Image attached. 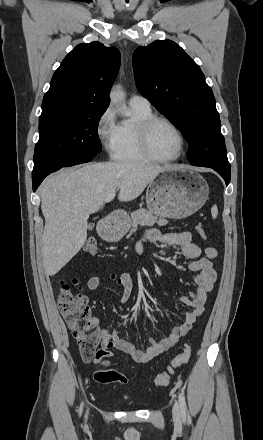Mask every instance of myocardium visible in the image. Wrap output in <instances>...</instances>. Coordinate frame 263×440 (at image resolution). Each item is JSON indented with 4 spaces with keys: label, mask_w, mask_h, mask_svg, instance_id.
<instances>
[{
    "label": "myocardium",
    "mask_w": 263,
    "mask_h": 440,
    "mask_svg": "<svg viewBox=\"0 0 263 440\" xmlns=\"http://www.w3.org/2000/svg\"><path fill=\"white\" fill-rule=\"evenodd\" d=\"M158 122L168 124L178 135L180 147L178 153L173 157L163 158L153 154L149 144V134L152 127ZM136 137L140 152L150 161L159 163H169L178 160L184 153L186 147V138L181 129L168 117L152 115L146 119L140 120L136 125Z\"/></svg>",
    "instance_id": "f54148a6"
}]
</instances>
